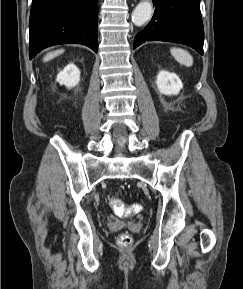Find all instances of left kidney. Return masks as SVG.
<instances>
[{
	"label": "left kidney",
	"instance_id": "5707ae66",
	"mask_svg": "<svg viewBox=\"0 0 243 289\" xmlns=\"http://www.w3.org/2000/svg\"><path fill=\"white\" fill-rule=\"evenodd\" d=\"M156 84L159 92L164 95H177L183 87L179 77L168 71L158 73Z\"/></svg>",
	"mask_w": 243,
	"mask_h": 289
}]
</instances>
